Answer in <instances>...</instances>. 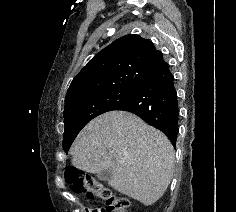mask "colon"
<instances>
[{
  "instance_id": "obj_1",
  "label": "colon",
  "mask_w": 236,
  "mask_h": 212,
  "mask_svg": "<svg viewBox=\"0 0 236 212\" xmlns=\"http://www.w3.org/2000/svg\"><path fill=\"white\" fill-rule=\"evenodd\" d=\"M65 179L75 193L86 194L91 199L99 198L105 203V207L93 208L90 212H127L129 201L113 193L91 175L69 167L65 171Z\"/></svg>"
}]
</instances>
